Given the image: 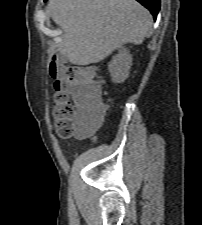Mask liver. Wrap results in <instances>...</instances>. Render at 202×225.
<instances>
[{"instance_id":"obj_1","label":"liver","mask_w":202,"mask_h":225,"mask_svg":"<svg viewBox=\"0 0 202 225\" xmlns=\"http://www.w3.org/2000/svg\"><path fill=\"white\" fill-rule=\"evenodd\" d=\"M47 11L63 30L60 52L76 65L141 44L152 25L149 11L135 0H50Z\"/></svg>"}]
</instances>
